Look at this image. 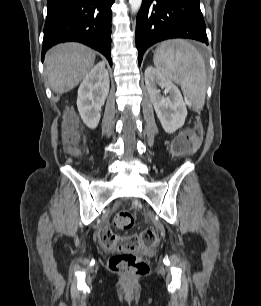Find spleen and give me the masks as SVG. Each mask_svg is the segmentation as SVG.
Instances as JSON below:
<instances>
[{"label": "spleen", "instance_id": "3e777b00", "mask_svg": "<svg viewBox=\"0 0 261 306\" xmlns=\"http://www.w3.org/2000/svg\"><path fill=\"white\" fill-rule=\"evenodd\" d=\"M156 69L180 85L188 105L202 109L206 96V68L197 49L181 39L163 42L153 57Z\"/></svg>", "mask_w": 261, "mask_h": 306}]
</instances>
